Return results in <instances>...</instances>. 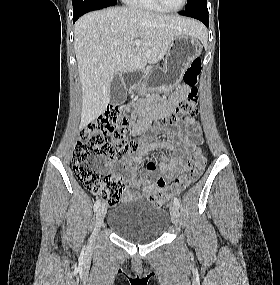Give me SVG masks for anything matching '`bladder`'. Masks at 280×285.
<instances>
[{
  "label": "bladder",
  "mask_w": 280,
  "mask_h": 285,
  "mask_svg": "<svg viewBox=\"0 0 280 285\" xmlns=\"http://www.w3.org/2000/svg\"><path fill=\"white\" fill-rule=\"evenodd\" d=\"M169 223L165 209L141 199L123 201L107 216L108 226L119 237L139 243L157 240Z\"/></svg>",
  "instance_id": "1"
}]
</instances>
